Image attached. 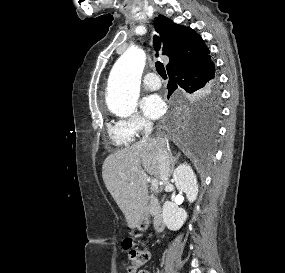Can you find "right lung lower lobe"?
Here are the masks:
<instances>
[{"instance_id":"98d812e1","label":"right lung lower lobe","mask_w":285,"mask_h":273,"mask_svg":"<svg viewBox=\"0 0 285 273\" xmlns=\"http://www.w3.org/2000/svg\"><path fill=\"white\" fill-rule=\"evenodd\" d=\"M167 72L169 75L168 96L178 87L183 88L188 93L202 91L215 81V68L209 51L205 55L194 58ZM195 123L198 128L205 126L202 116H198Z\"/></svg>"}]
</instances>
